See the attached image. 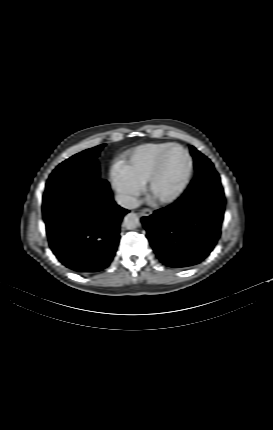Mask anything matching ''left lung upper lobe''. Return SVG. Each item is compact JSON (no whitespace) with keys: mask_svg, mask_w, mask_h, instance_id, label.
<instances>
[{"mask_svg":"<svg viewBox=\"0 0 273 430\" xmlns=\"http://www.w3.org/2000/svg\"><path fill=\"white\" fill-rule=\"evenodd\" d=\"M192 156L194 158V166L196 173L199 175L204 171H214V166L210 160L201 154L195 147L190 146Z\"/></svg>","mask_w":273,"mask_h":430,"instance_id":"5c2ea615","label":"left lung upper lobe"}]
</instances>
